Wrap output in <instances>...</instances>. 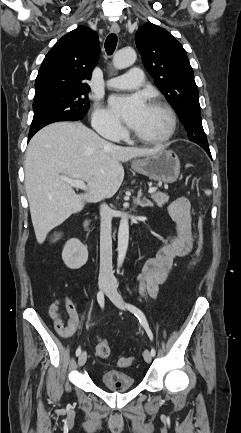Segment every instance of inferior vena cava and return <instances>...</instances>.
Instances as JSON below:
<instances>
[{"label": "inferior vena cava", "mask_w": 241, "mask_h": 433, "mask_svg": "<svg viewBox=\"0 0 241 433\" xmlns=\"http://www.w3.org/2000/svg\"><path fill=\"white\" fill-rule=\"evenodd\" d=\"M100 273L99 280L114 281L112 268V210L103 203L100 206Z\"/></svg>", "instance_id": "obj_1"}]
</instances>
